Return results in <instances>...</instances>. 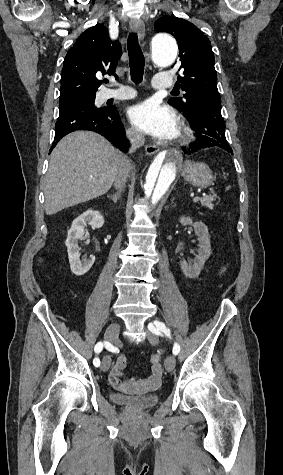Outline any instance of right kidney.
<instances>
[{
	"instance_id": "right-kidney-1",
	"label": "right kidney",
	"mask_w": 283,
	"mask_h": 475,
	"mask_svg": "<svg viewBox=\"0 0 283 475\" xmlns=\"http://www.w3.org/2000/svg\"><path fill=\"white\" fill-rule=\"evenodd\" d=\"M87 224H89L91 228H102L104 218L100 212H96V210H87V212H83L81 216L73 220L72 226L70 230H68L65 243L68 249L71 271H73L75 275H84L95 261V255H90L89 259H80L78 241L79 239H83L84 228Z\"/></svg>"
}]
</instances>
